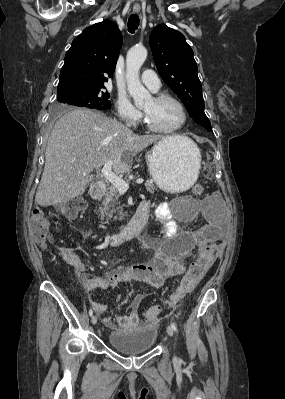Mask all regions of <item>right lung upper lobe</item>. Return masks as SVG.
Masks as SVG:
<instances>
[{
	"mask_svg": "<svg viewBox=\"0 0 285 399\" xmlns=\"http://www.w3.org/2000/svg\"><path fill=\"white\" fill-rule=\"evenodd\" d=\"M122 41L113 21L104 20L85 28L66 53L58 92L105 88L107 75L112 77L114 73Z\"/></svg>",
	"mask_w": 285,
	"mask_h": 399,
	"instance_id": "cb5924a9",
	"label": "right lung upper lobe"
}]
</instances>
